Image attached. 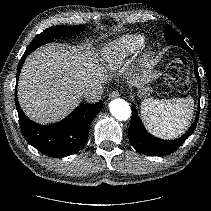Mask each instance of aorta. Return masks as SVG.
Listing matches in <instances>:
<instances>
[{"label": "aorta", "mask_w": 211, "mask_h": 211, "mask_svg": "<svg viewBox=\"0 0 211 211\" xmlns=\"http://www.w3.org/2000/svg\"><path fill=\"white\" fill-rule=\"evenodd\" d=\"M111 114L118 120L124 121L129 119L131 108L127 101L121 98H116L109 103Z\"/></svg>", "instance_id": "1"}]
</instances>
